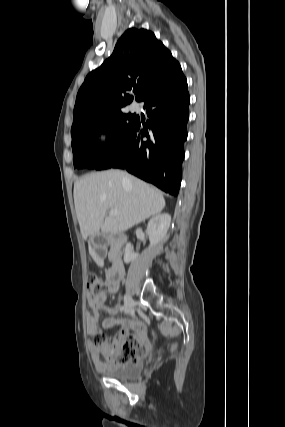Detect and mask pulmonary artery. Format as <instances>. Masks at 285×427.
<instances>
[{
	"mask_svg": "<svg viewBox=\"0 0 285 427\" xmlns=\"http://www.w3.org/2000/svg\"><path fill=\"white\" fill-rule=\"evenodd\" d=\"M130 110H131L132 112H134V111L138 110V105H137L136 103H132V104L130 105Z\"/></svg>",
	"mask_w": 285,
	"mask_h": 427,
	"instance_id": "pulmonary-artery-1",
	"label": "pulmonary artery"
}]
</instances>
